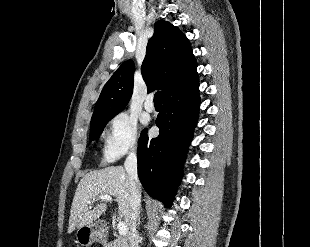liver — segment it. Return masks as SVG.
Listing matches in <instances>:
<instances>
[{
  "label": "liver",
  "instance_id": "1",
  "mask_svg": "<svg viewBox=\"0 0 310 247\" xmlns=\"http://www.w3.org/2000/svg\"><path fill=\"white\" fill-rule=\"evenodd\" d=\"M115 197L118 215L128 224L130 213V184L128 175L122 166H109L94 170L80 180L70 210L68 233L75 228L91 224L107 209L105 203L92 206L101 195Z\"/></svg>",
  "mask_w": 310,
  "mask_h": 247
}]
</instances>
